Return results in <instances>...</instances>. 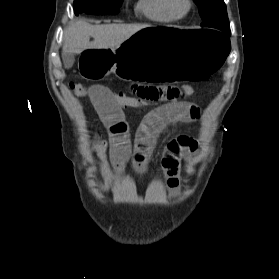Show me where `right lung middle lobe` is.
I'll return each mask as SVG.
<instances>
[{
	"label": "right lung middle lobe",
	"instance_id": "dd1d6c3e",
	"mask_svg": "<svg viewBox=\"0 0 279 279\" xmlns=\"http://www.w3.org/2000/svg\"><path fill=\"white\" fill-rule=\"evenodd\" d=\"M123 0H74L76 15L87 14H117Z\"/></svg>",
	"mask_w": 279,
	"mask_h": 279
}]
</instances>
